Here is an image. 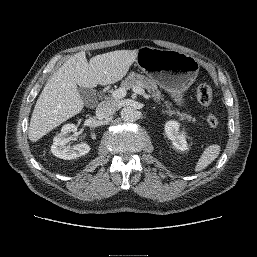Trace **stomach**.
<instances>
[{"label":"stomach","mask_w":257,"mask_h":257,"mask_svg":"<svg viewBox=\"0 0 257 257\" xmlns=\"http://www.w3.org/2000/svg\"><path fill=\"white\" fill-rule=\"evenodd\" d=\"M136 65L162 88L172 94L175 102L184 105V93L199 72L198 60L177 50L143 46L138 49Z\"/></svg>","instance_id":"obj_1"}]
</instances>
